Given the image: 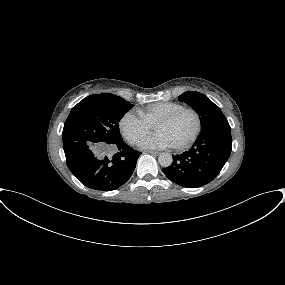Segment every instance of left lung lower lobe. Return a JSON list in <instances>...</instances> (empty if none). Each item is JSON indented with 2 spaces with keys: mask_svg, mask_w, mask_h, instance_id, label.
Segmentation results:
<instances>
[{
  "mask_svg": "<svg viewBox=\"0 0 285 285\" xmlns=\"http://www.w3.org/2000/svg\"><path fill=\"white\" fill-rule=\"evenodd\" d=\"M232 149L229 125H213L201 130L189 151L173 156L163 173L174 183L196 188L211 182L228 160Z\"/></svg>",
  "mask_w": 285,
  "mask_h": 285,
  "instance_id": "obj_1",
  "label": "left lung lower lobe"
}]
</instances>
